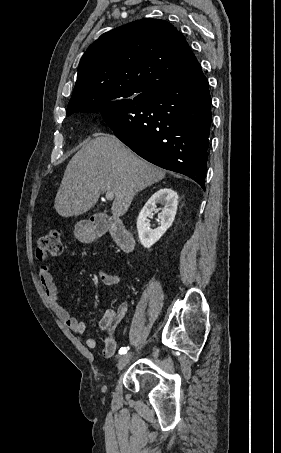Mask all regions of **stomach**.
Returning a JSON list of instances; mask_svg holds the SVG:
<instances>
[{
  "label": "stomach",
  "mask_w": 281,
  "mask_h": 453,
  "mask_svg": "<svg viewBox=\"0 0 281 453\" xmlns=\"http://www.w3.org/2000/svg\"><path fill=\"white\" fill-rule=\"evenodd\" d=\"M75 237L79 239V241H85V239H89V241H93L94 239V231L91 227H84V224H76L75 227Z\"/></svg>",
  "instance_id": "obj_1"
}]
</instances>
